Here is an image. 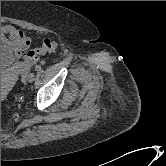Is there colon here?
Instances as JSON below:
<instances>
[{"label":"colon","instance_id":"1","mask_svg":"<svg viewBox=\"0 0 166 166\" xmlns=\"http://www.w3.org/2000/svg\"><path fill=\"white\" fill-rule=\"evenodd\" d=\"M57 46H58L57 42L54 39H51V38L44 39L41 46L32 50H29L26 53L24 58V66H28L41 55L54 52L57 49Z\"/></svg>","mask_w":166,"mask_h":166}]
</instances>
